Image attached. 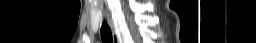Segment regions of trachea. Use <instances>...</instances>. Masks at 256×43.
<instances>
[{
  "mask_svg": "<svg viewBox=\"0 0 256 43\" xmlns=\"http://www.w3.org/2000/svg\"><path fill=\"white\" fill-rule=\"evenodd\" d=\"M100 33H101V38L103 43H113L111 29L105 20L102 23Z\"/></svg>",
  "mask_w": 256,
  "mask_h": 43,
  "instance_id": "3493384b",
  "label": "trachea"
}]
</instances>
